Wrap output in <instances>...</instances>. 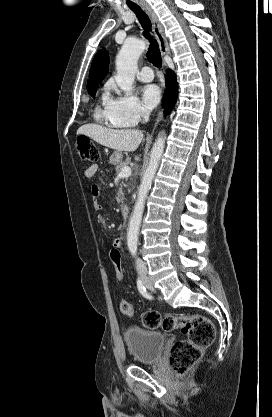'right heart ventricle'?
<instances>
[{"instance_id": "right-heart-ventricle-1", "label": "right heart ventricle", "mask_w": 272, "mask_h": 417, "mask_svg": "<svg viewBox=\"0 0 272 417\" xmlns=\"http://www.w3.org/2000/svg\"><path fill=\"white\" fill-rule=\"evenodd\" d=\"M107 100H108V97L105 94L103 96V103H104V106H105L104 109H97L96 110V113H95V116H96L97 120L100 121V122H103V123H105V124H107L109 126H112V127H124L121 124H119L116 121H114L112 119V117L110 116V114H109V112H108V110L106 108V102H107Z\"/></svg>"}]
</instances>
